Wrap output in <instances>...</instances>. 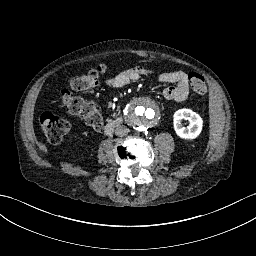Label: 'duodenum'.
Wrapping results in <instances>:
<instances>
[{"instance_id":"duodenum-1","label":"duodenum","mask_w":256,"mask_h":256,"mask_svg":"<svg viewBox=\"0 0 256 256\" xmlns=\"http://www.w3.org/2000/svg\"><path fill=\"white\" fill-rule=\"evenodd\" d=\"M124 124V120L120 117L114 118L109 120L108 122L105 123L104 125V133L107 135H110L113 133V131Z\"/></svg>"}]
</instances>
